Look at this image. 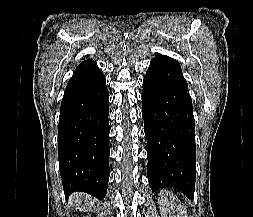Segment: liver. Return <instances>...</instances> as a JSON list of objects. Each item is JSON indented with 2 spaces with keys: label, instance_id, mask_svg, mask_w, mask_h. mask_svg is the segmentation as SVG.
I'll use <instances>...</instances> for the list:
<instances>
[{
  "label": "liver",
  "instance_id": "6515ba94",
  "mask_svg": "<svg viewBox=\"0 0 253 217\" xmlns=\"http://www.w3.org/2000/svg\"><path fill=\"white\" fill-rule=\"evenodd\" d=\"M72 199L75 200V202L82 204L84 209H89L95 204V199L91 196H88L86 194L77 192L72 196Z\"/></svg>",
  "mask_w": 253,
  "mask_h": 217
}]
</instances>
